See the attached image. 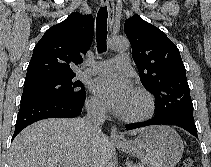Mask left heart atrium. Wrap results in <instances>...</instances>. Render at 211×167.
Listing matches in <instances>:
<instances>
[{
    "label": "left heart atrium",
    "mask_w": 211,
    "mask_h": 167,
    "mask_svg": "<svg viewBox=\"0 0 211 167\" xmlns=\"http://www.w3.org/2000/svg\"><path fill=\"white\" fill-rule=\"evenodd\" d=\"M93 95L116 113L123 114L133 95L128 81L116 75L95 78L89 85Z\"/></svg>",
    "instance_id": "39dd6f15"
}]
</instances>
